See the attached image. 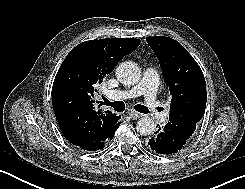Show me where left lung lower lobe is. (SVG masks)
I'll return each mask as SVG.
<instances>
[{"label": "left lung lower lobe", "mask_w": 245, "mask_h": 189, "mask_svg": "<svg viewBox=\"0 0 245 189\" xmlns=\"http://www.w3.org/2000/svg\"><path fill=\"white\" fill-rule=\"evenodd\" d=\"M187 141L176 140L173 135L170 134L165 127L160 128L154 133L152 138L149 140V147L160 154H174L180 151L186 144Z\"/></svg>", "instance_id": "0a47b994"}]
</instances>
